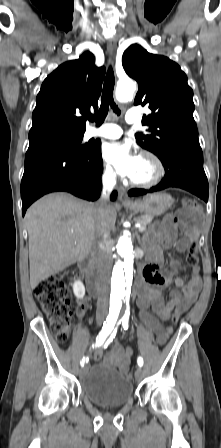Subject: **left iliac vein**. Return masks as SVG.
Masks as SVG:
<instances>
[{
    "instance_id": "1",
    "label": "left iliac vein",
    "mask_w": 221,
    "mask_h": 448,
    "mask_svg": "<svg viewBox=\"0 0 221 448\" xmlns=\"http://www.w3.org/2000/svg\"><path fill=\"white\" fill-rule=\"evenodd\" d=\"M136 380H141L143 378V370L141 367H138L135 371Z\"/></svg>"
}]
</instances>
